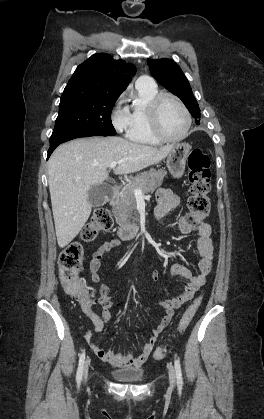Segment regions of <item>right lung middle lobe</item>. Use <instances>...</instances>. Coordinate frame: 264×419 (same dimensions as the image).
<instances>
[{
	"instance_id": "right-lung-middle-lobe-1",
	"label": "right lung middle lobe",
	"mask_w": 264,
	"mask_h": 419,
	"mask_svg": "<svg viewBox=\"0 0 264 419\" xmlns=\"http://www.w3.org/2000/svg\"><path fill=\"white\" fill-rule=\"evenodd\" d=\"M120 94L92 91L84 87L65 88L50 145L81 132L115 135L111 112Z\"/></svg>"
}]
</instances>
